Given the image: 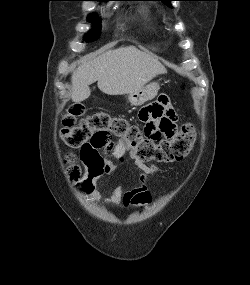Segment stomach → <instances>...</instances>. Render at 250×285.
<instances>
[{"label":"stomach","mask_w":250,"mask_h":285,"mask_svg":"<svg viewBox=\"0 0 250 285\" xmlns=\"http://www.w3.org/2000/svg\"><path fill=\"white\" fill-rule=\"evenodd\" d=\"M159 90V84L156 82L144 85L141 89L128 93L127 100L133 106H140L147 101L155 98Z\"/></svg>","instance_id":"stomach-1"}]
</instances>
